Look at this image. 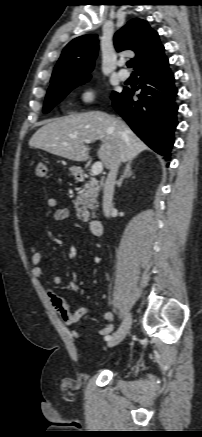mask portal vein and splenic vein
<instances>
[{
	"instance_id": "obj_1",
	"label": "portal vein and splenic vein",
	"mask_w": 202,
	"mask_h": 437,
	"mask_svg": "<svg viewBox=\"0 0 202 437\" xmlns=\"http://www.w3.org/2000/svg\"><path fill=\"white\" fill-rule=\"evenodd\" d=\"M86 143H91V140H86ZM103 171V164L102 162H96L93 164L91 168V172L93 175H99Z\"/></svg>"
}]
</instances>
